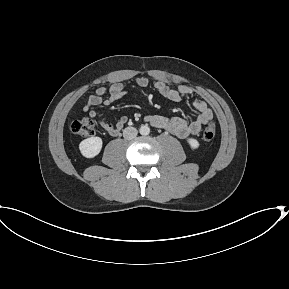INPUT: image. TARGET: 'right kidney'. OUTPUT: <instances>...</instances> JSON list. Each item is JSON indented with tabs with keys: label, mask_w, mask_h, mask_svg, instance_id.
<instances>
[{
	"label": "right kidney",
	"mask_w": 289,
	"mask_h": 289,
	"mask_svg": "<svg viewBox=\"0 0 289 289\" xmlns=\"http://www.w3.org/2000/svg\"><path fill=\"white\" fill-rule=\"evenodd\" d=\"M102 139L100 137H90L79 144L81 154L86 158L97 156L102 149Z\"/></svg>",
	"instance_id": "right-kidney-1"
}]
</instances>
